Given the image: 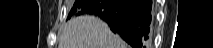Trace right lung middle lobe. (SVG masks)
<instances>
[{"label": "right lung middle lobe", "instance_id": "right-lung-middle-lobe-1", "mask_svg": "<svg viewBox=\"0 0 213 48\" xmlns=\"http://www.w3.org/2000/svg\"><path fill=\"white\" fill-rule=\"evenodd\" d=\"M87 2V0H76L69 15L68 18L69 19L72 15L76 14L79 15V12L82 8V6Z\"/></svg>", "mask_w": 213, "mask_h": 48}]
</instances>
